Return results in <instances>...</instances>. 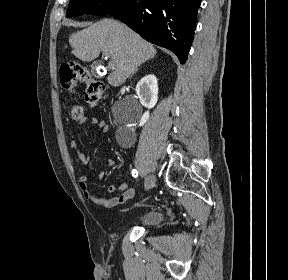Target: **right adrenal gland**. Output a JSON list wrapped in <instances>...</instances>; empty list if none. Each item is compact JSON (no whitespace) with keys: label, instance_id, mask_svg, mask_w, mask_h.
<instances>
[{"label":"right adrenal gland","instance_id":"1","mask_svg":"<svg viewBox=\"0 0 288 280\" xmlns=\"http://www.w3.org/2000/svg\"><path fill=\"white\" fill-rule=\"evenodd\" d=\"M138 69H139V67H137V68L135 69V71L132 73V75H133L135 72H137ZM132 75H131L130 77H132Z\"/></svg>","mask_w":288,"mask_h":280}]
</instances>
